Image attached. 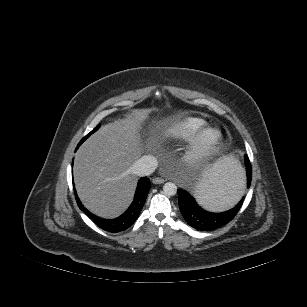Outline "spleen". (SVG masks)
Here are the masks:
<instances>
[{
  "label": "spleen",
  "mask_w": 307,
  "mask_h": 307,
  "mask_svg": "<svg viewBox=\"0 0 307 307\" xmlns=\"http://www.w3.org/2000/svg\"><path fill=\"white\" fill-rule=\"evenodd\" d=\"M245 192L244 167L233 158H222L205 177L197 199L208 209L222 210L234 205Z\"/></svg>",
  "instance_id": "spleen-1"
}]
</instances>
